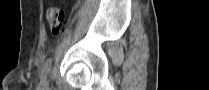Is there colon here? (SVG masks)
Wrapping results in <instances>:
<instances>
[{
    "mask_svg": "<svg viewBox=\"0 0 209 90\" xmlns=\"http://www.w3.org/2000/svg\"><path fill=\"white\" fill-rule=\"evenodd\" d=\"M47 21L53 33H59L64 27L66 15L64 10L59 6H51L48 8Z\"/></svg>",
    "mask_w": 209,
    "mask_h": 90,
    "instance_id": "1",
    "label": "colon"
}]
</instances>
